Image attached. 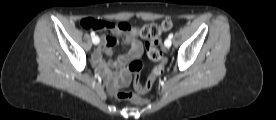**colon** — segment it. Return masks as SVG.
<instances>
[{"label": "colon", "mask_w": 276, "mask_h": 120, "mask_svg": "<svg viewBox=\"0 0 276 120\" xmlns=\"http://www.w3.org/2000/svg\"><path fill=\"white\" fill-rule=\"evenodd\" d=\"M80 26L85 29H100L102 22L93 18H85L80 21ZM172 28V22L165 19L161 23H149L139 28L137 33L145 41V47L148 57L157 62L150 75L144 83L140 80L142 63L139 60H133L128 70L133 75L134 87L139 93H146L152 89L156 80L162 75L165 69L166 59L160 49L162 34ZM116 97L120 100H131L138 105H146L148 100L132 92L121 89L116 92Z\"/></svg>", "instance_id": "1"}]
</instances>
